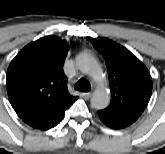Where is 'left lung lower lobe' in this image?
Wrapping results in <instances>:
<instances>
[{
  "instance_id": "0a47b994",
  "label": "left lung lower lobe",
  "mask_w": 165,
  "mask_h": 154,
  "mask_svg": "<svg viewBox=\"0 0 165 154\" xmlns=\"http://www.w3.org/2000/svg\"><path fill=\"white\" fill-rule=\"evenodd\" d=\"M99 118L101 119V121L106 124L107 126L113 128V129H121L124 127L129 126L130 124L126 121L123 120H119L116 118H112L109 117L103 113H101L100 111L98 112Z\"/></svg>"
}]
</instances>
